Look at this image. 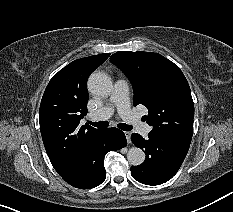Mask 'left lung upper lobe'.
I'll return each instance as SVG.
<instances>
[{
  "label": "left lung upper lobe",
  "mask_w": 233,
  "mask_h": 212,
  "mask_svg": "<svg viewBox=\"0 0 233 212\" xmlns=\"http://www.w3.org/2000/svg\"><path fill=\"white\" fill-rule=\"evenodd\" d=\"M110 61L129 78L133 105L148 108L144 120L153 126L150 134L191 143L194 104L189 84L180 68L157 53L121 51Z\"/></svg>",
  "instance_id": "left-lung-upper-lobe-1"
}]
</instances>
